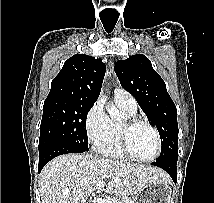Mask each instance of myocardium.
Returning <instances> with one entry per match:
<instances>
[{
  "instance_id": "f54148a6",
  "label": "myocardium",
  "mask_w": 214,
  "mask_h": 203,
  "mask_svg": "<svg viewBox=\"0 0 214 203\" xmlns=\"http://www.w3.org/2000/svg\"><path fill=\"white\" fill-rule=\"evenodd\" d=\"M138 125H145V126L149 127L153 131L155 138H156V152L152 157L147 158V159H141V158L136 157L131 152V149L129 146L130 132L134 127H136ZM119 140H120V147H121V150L124 153V155L127 158H129L130 160H133V161L139 162V163H150V162L155 161L160 156V153L162 150L161 136H160V133L157 130V128L155 126H153L147 120L137 118L135 116H128L123 122L120 123Z\"/></svg>"
}]
</instances>
